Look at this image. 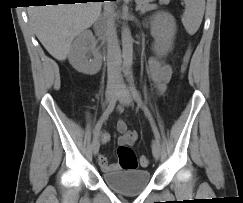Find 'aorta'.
I'll use <instances>...</instances> for the list:
<instances>
[{
  "instance_id": "762f6f07",
  "label": "aorta",
  "mask_w": 243,
  "mask_h": 203,
  "mask_svg": "<svg viewBox=\"0 0 243 203\" xmlns=\"http://www.w3.org/2000/svg\"><path fill=\"white\" fill-rule=\"evenodd\" d=\"M121 36L123 65L126 69H130L133 59V39L128 26L122 27Z\"/></svg>"
}]
</instances>
